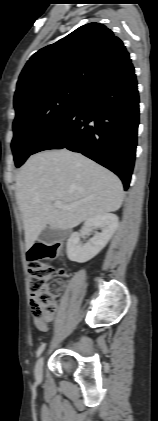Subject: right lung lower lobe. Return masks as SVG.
<instances>
[{
  "instance_id": "obj_1",
  "label": "right lung lower lobe",
  "mask_w": 158,
  "mask_h": 421,
  "mask_svg": "<svg viewBox=\"0 0 158 421\" xmlns=\"http://www.w3.org/2000/svg\"><path fill=\"white\" fill-rule=\"evenodd\" d=\"M139 95L129 53L98 71L33 154L67 148L117 174L127 190L135 160Z\"/></svg>"
}]
</instances>
